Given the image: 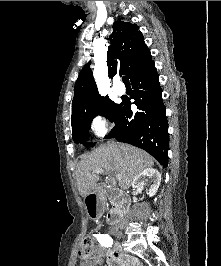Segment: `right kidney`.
Here are the masks:
<instances>
[{
    "instance_id": "obj_1",
    "label": "right kidney",
    "mask_w": 221,
    "mask_h": 266,
    "mask_svg": "<svg viewBox=\"0 0 221 266\" xmlns=\"http://www.w3.org/2000/svg\"><path fill=\"white\" fill-rule=\"evenodd\" d=\"M150 181V188L148 190L149 196H154L160 186L161 174L154 168H147L140 172L133 180L132 186L137 189H142L144 182Z\"/></svg>"
}]
</instances>
